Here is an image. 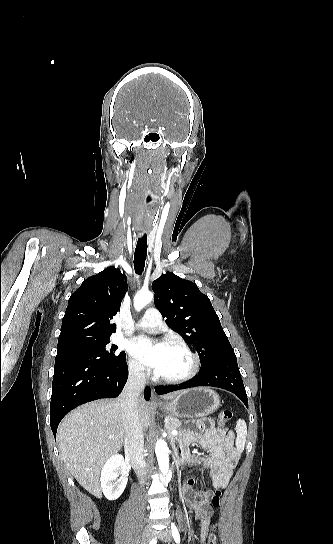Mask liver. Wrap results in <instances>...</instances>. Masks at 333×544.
<instances>
[{
  "mask_svg": "<svg viewBox=\"0 0 333 544\" xmlns=\"http://www.w3.org/2000/svg\"><path fill=\"white\" fill-rule=\"evenodd\" d=\"M179 393L163 398L173 399ZM138 411L142 428L148 427L152 422L149 404L140 399ZM125 437L120 398L97 400L76 408L64 418L57 432L63 461L78 483L96 497H101V466L121 449Z\"/></svg>",
  "mask_w": 333,
  "mask_h": 544,
  "instance_id": "6515ba94",
  "label": "liver"
}]
</instances>
